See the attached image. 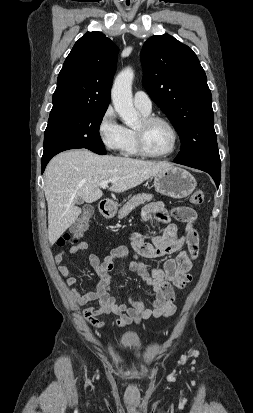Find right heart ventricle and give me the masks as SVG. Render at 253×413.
Instances as JSON below:
<instances>
[{
    "instance_id": "right-heart-ventricle-1",
    "label": "right heart ventricle",
    "mask_w": 253,
    "mask_h": 413,
    "mask_svg": "<svg viewBox=\"0 0 253 413\" xmlns=\"http://www.w3.org/2000/svg\"><path fill=\"white\" fill-rule=\"evenodd\" d=\"M141 113L146 116L149 113H144L141 111ZM127 130V143L125 148L123 149V152L126 155H130V156H136L139 155V152L137 150L136 147V139H135V133H134V129L133 128H126Z\"/></svg>"
}]
</instances>
